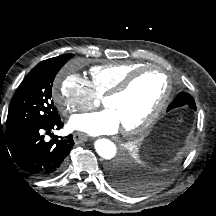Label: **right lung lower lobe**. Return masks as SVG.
I'll return each mask as SVG.
<instances>
[{
	"label": "right lung lower lobe",
	"instance_id": "right-lung-lower-lobe-1",
	"mask_svg": "<svg viewBox=\"0 0 216 216\" xmlns=\"http://www.w3.org/2000/svg\"><path fill=\"white\" fill-rule=\"evenodd\" d=\"M62 127L60 117L49 123L16 127L6 130L4 136L2 132L1 142L21 169L37 178H51L65 167L74 141L70 134L64 138L53 136L47 142L44 133L50 134L51 130Z\"/></svg>",
	"mask_w": 216,
	"mask_h": 216
}]
</instances>
